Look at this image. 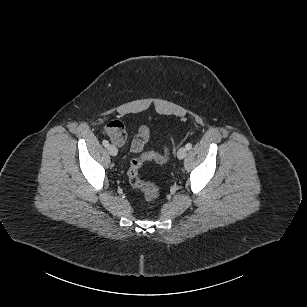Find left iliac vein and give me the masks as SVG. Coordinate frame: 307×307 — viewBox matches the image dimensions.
Instances as JSON below:
<instances>
[{
	"mask_svg": "<svg viewBox=\"0 0 307 307\" xmlns=\"http://www.w3.org/2000/svg\"><path fill=\"white\" fill-rule=\"evenodd\" d=\"M186 154H187V149L185 147H181L177 152V157L179 159H183L185 158Z\"/></svg>",
	"mask_w": 307,
	"mask_h": 307,
	"instance_id": "1",
	"label": "left iliac vein"
}]
</instances>
